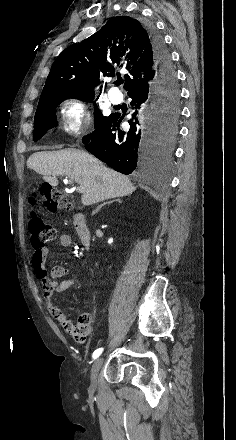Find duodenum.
I'll list each match as a JSON object with an SVG mask.
<instances>
[{"mask_svg":"<svg viewBox=\"0 0 236 440\" xmlns=\"http://www.w3.org/2000/svg\"><path fill=\"white\" fill-rule=\"evenodd\" d=\"M73 224L81 244L89 250L92 246V238L85 216L82 213H76L73 216Z\"/></svg>","mask_w":236,"mask_h":440,"instance_id":"obj_1","label":"duodenum"}]
</instances>
